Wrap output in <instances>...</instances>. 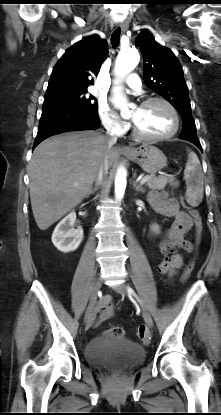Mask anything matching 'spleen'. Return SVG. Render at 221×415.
Segmentation results:
<instances>
[{"instance_id": "3e777b00", "label": "spleen", "mask_w": 221, "mask_h": 415, "mask_svg": "<svg viewBox=\"0 0 221 415\" xmlns=\"http://www.w3.org/2000/svg\"><path fill=\"white\" fill-rule=\"evenodd\" d=\"M184 179L186 181V199L192 206H198L203 199V173L200 161L197 155L190 151L184 170Z\"/></svg>"}]
</instances>
